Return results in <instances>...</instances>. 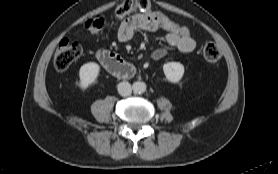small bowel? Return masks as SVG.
<instances>
[{
    "label": "small bowel",
    "mask_w": 278,
    "mask_h": 174,
    "mask_svg": "<svg viewBox=\"0 0 278 174\" xmlns=\"http://www.w3.org/2000/svg\"><path fill=\"white\" fill-rule=\"evenodd\" d=\"M157 13L159 12L137 13L121 21L117 33L118 39L121 42H128L138 31L156 32L163 30L165 31V41L169 46L177 49L181 53L192 52L196 47L195 40L192 37H179L172 32L164 30L156 18ZM165 55L166 50L164 48H158L153 52L152 58L154 60H160Z\"/></svg>",
    "instance_id": "c3829d8e"
}]
</instances>
